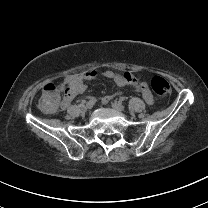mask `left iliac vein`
<instances>
[{
    "label": "left iliac vein",
    "instance_id": "obj_1",
    "mask_svg": "<svg viewBox=\"0 0 208 208\" xmlns=\"http://www.w3.org/2000/svg\"><path fill=\"white\" fill-rule=\"evenodd\" d=\"M111 105L114 109L118 111H124L125 109V107L120 102H117V101H114Z\"/></svg>",
    "mask_w": 208,
    "mask_h": 208
}]
</instances>
